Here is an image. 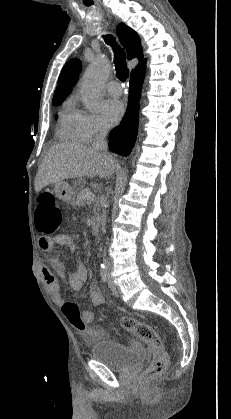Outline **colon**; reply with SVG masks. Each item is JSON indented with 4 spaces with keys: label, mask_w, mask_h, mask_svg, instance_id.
<instances>
[{
    "label": "colon",
    "mask_w": 231,
    "mask_h": 419,
    "mask_svg": "<svg viewBox=\"0 0 231 419\" xmlns=\"http://www.w3.org/2000/svg\"><path fill=\"white\" fill-rule=\"evenodd\" d=\"M62 219V211L55 196L52 193H41L37 199L35 212L37 231L44 235H52L60 228ZM62 312L76 330L84 333L88 340L94 339L96 332L88 327L76 303L65 302L62 305ZM119 323L124 330L133 333L152 351L151 365L142 376V383L147 385L154 377L162 374L168 366L169 359L164 350L163 341L150 324L134 317L122 316Z\"/></svg>",
    "instance_id": "1"
}]
</instances>
